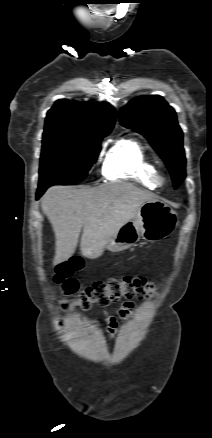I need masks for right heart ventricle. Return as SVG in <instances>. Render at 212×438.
<instances>
[{"mask_svg":"<svg viewBox=\"0 0 212 438\" xmlns=\"http://www.w3.org/2000/svg\"><path fill=\"white\" fill-rule=\"evenodd\" d=\"M154 169L143 144L130 138L120 139L109 148L102 167L110 180H131L148 189L157 187L151 178Z\"/></svg>","mask_w":212,"mask_h":438,"instance_id":"right-heart-ventricle-1","label":"right heart ventricle"}]
</instances>
